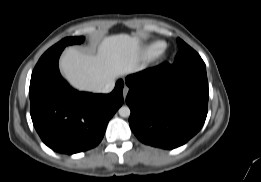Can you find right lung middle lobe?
I'll use <instances>...</instances> for the list:
<instances>
[{"mask_svg":"<svg viewBox=\"0 0 261 182\" xmlns=\"http://www.w3.org/2000/svg\"><path fill=\"white\" fill-rule=\"evenodd\" d=\"M84 41V37H67L52 46L50 49L65 48L67 45L80 44Z\"/></svg>","mask_w":261,"mask_h":182,"instance_id":"dd1d6c3e","label":"right lung middle lobe"}]
</instances>
